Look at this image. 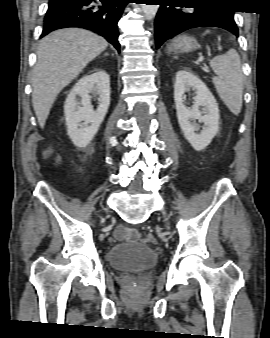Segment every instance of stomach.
<instances>
[{
	"mask_svg": "<svg viewBox=\"0 0 270 338\" xmlns=\"http://www.w3.org/2000/svg\"><path fill=\"white\" fill-rule=\"evenodd\" d=\"M198 47L197 40L189 35H181L173 39L168 45V52L170 53H188L196 50Z\"/></svg>",
	"mask_w": 270,
	"mask_h": 338,
	"instance_id": "0dacf381",
	"label": "stomach"
}]
</instances>
